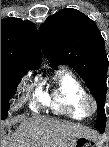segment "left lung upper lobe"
Masks as SVG:
<instances>
[{"label":"left lung upper lobe","instance_id":"1","mask_svg":"<svg viewBox=\"0 0 109 147\" xmlns=\"http://www.w3.org/2000/svg\"><path fill=\"white\" fill-rule=\"evenodd\" d=\"M39 33L42 50L51 64H68L85 81L97 101L95 127L105 128L109 61L95 22L76 9L66 8L48 17Z\"/></svg>","mask_w":109,"mask_h":147}]
</instances>
